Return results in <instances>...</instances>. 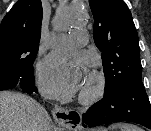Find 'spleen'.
<instances>
[{"instance_id": "3e777b00", "label": "spleen", "mask_w": 151, "mask_h": 131, "mask_svg": "<svg viewBox=\"0 0 151 131\" xmlns=\"http://www.w3.org/2000/svg\"><path fill=\"white\" fill-rule=\"evenodd\" d=\"M110 130H117L120 131H142L140 128L130 124H113L109 127Z\"/></svg>"}]
</instances>
